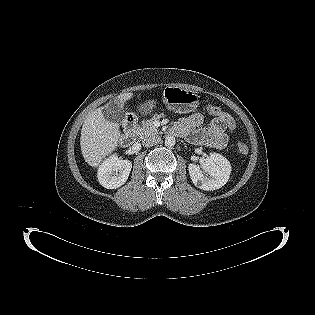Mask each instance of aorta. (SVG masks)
<instances>
[{
	"mask_svg": "<svg viewBox=\"0 0 315 315\" xmlns=\"http://www.w3.org/2000/svg\"><path fill=\"white\" fill-rule=\"evenodd\" d=\"M176 143V140H175V137L173 136H167L165 138V145L168 146V147H172L174 146Z\"/></svg>",
	"mask_w": 315,
	"mask_h": 315,
	"instance_id": "1",
	"label": "aorta"
}]
</instances>
